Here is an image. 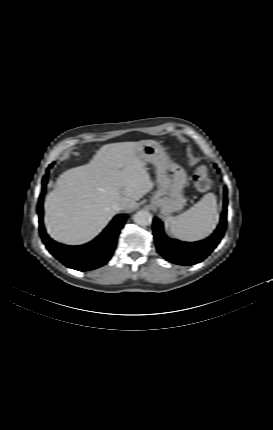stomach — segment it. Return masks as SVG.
<instances>
[{"mask_svg": "<svg viewBox=\"0 0 273 430\" xmlns=\"http://www.w3.org/2000/svg\"><path fill=\"white\" fill-rule=\"evenodd\" d=\"M138 158L146 164L156 166L158 190L151 198V203L160 209L163 215L179 211L185 205L183 189L187 184V174L178 164L170 161L162 145L154 140H143L137 146Z\"/></svg>", "mask_w": 273, "mask_h": 430, "instance_id": "stomach-1", "label": "stomach"}]
</instances>
